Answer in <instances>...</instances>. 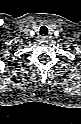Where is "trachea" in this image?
<instances>
[{
    "label": "trachea",
    "mask_w": 81,
    "mask_h": 124,
    "mask_svg": "<svg viewBox=\"0 0 81 124\" xmlns=\"http://www.w3.org/2000/svg\"><path fill=\"white\" fill-rule=\"evenodd\" d=\"M40 35H48V28L46 26H42L39 31Z\"/></svg>",
    "instance_id": "3493384b"
}]
</instances>
